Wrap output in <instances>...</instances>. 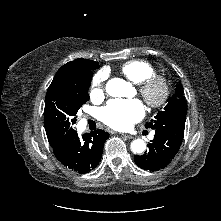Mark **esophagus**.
Instances as JSON below:
<instances>
[{
    "label": "esophagus",
    "mask_w": 221,
    "mask_h": 221,
    "mask_svg": "<svg viewBox=\"0 0 221 221\" xmlns=\"http://www.w3.org/2000/svg\"><path fill=\"white\" fill-rule=\"evenodd\" d=\"M122 136L124 138H127V139H133L134 138L132 135H129V134H122Z\"/></svg>",
    "instance_id": "1"
}]
</instances>
